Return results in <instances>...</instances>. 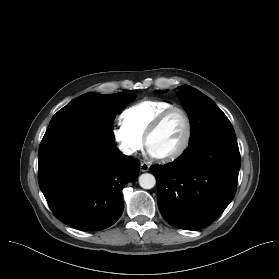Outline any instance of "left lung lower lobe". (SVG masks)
<instances>
[{"label": "left lung lower lobe", "instance_id": "1", "mask_svg": "<svg viewBox=\"0 0 279 279\" xmlns=\"http://www.w3.org/2000/svg\"><path fill=\"white\" fill-rule=\"evenodd\" d=\"M240 164L233 133L203 137L189 144L173 163L152 165L163 217L180 229L210 225L235 195Z\"/></svg>", "mask_w": 279, "mask_h": 279}]
</instances>
